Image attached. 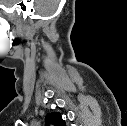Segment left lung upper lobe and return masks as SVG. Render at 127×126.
<instances>
[{
	"label": "left lung upper lobe",
	"instance_id": "1",
	"mask_svg": "<svg viewBox=\"0 0 127 126\" xmlns=\"http://www.w3.org/2000/svg\"><path fill=\"white\" fill-rule=\"evenodd\" d=\"M47 124H53L54 126H65V121L61 118L59 113H49L46 118Z\"/></svg>",
	"mask_w": 127,
	"mask_h": 126
}]
</instances>
